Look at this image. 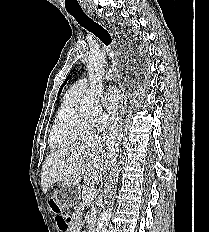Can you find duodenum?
I'll return each mask as SVG.
<instances>
[{"mask_svg":"<svg viewBox=\"0 0 209 232\" xmlns=\"http://www.w3.org/2000/svg\"><path fill=\"white\" fill-rule=\"evenodd\" d=\"M89 232H96V228H95V225L93 223H91L89 226Z\"/></svg>","mask_w":209,"mask_h":232,"instance_id":"410a0bca","label":"duodenum"}]
</instances>
